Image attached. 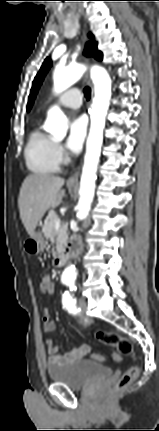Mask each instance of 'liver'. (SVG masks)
<instances>
[{
	"instance_id": "6515ba94",
	"label": "liver",
	"mask_w": 159,
	"mask_h": 431,
	"mask_svg": "<svg viewBox=\"0 0 159 431\" xmlns=\"http://www.w3.org/2000/svg\"><path fill=\"white\" fill-rule=\"evenodd\" d=\"M64 182L63 178L48 174H31L23 181L18 206L21 221L30 236L47 210L60 205L65 196V190L61 189Z\"/></svg>"
}]
</instances>
